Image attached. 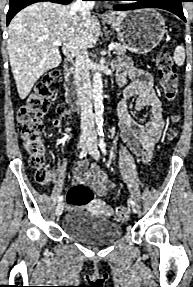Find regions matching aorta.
I'll use <instances>...</instances> for the list:
<instances>
[{
    "label": "aorta",
    "mask_w": 193,
    "mask_h": 287,
    "mask_svg": "<svg viewBox=\"0 0 193 287\" xmlns=\"http://www.w3.org/2000/svg\"><path fill=\"white\" fill-rule=\"evenodd\" d=\"M92 93L94 100L95 121L98 126L103 123V83L102 74L95 72L92 82Z\"/></svg>",
    "instance_id": "aorta-1"
}]
</instances>
